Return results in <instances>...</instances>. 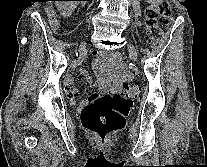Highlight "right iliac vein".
<instances>
[{
	"label": "right iliac vein",
	"instance_id": "obj_1",
	"mask_svg": "<svg viewBox=\"0 0 207 167\" xmlns=\"http://www.w3.org/2000/svg\"><path fill=\"white\" fill-rule=\"evenodd\" d=\"M85 48V43H82L79 47L80 50H83Z\"/></svg>",
	"mask_w": 207,
	"mask_h": 167
}]
</instances>
